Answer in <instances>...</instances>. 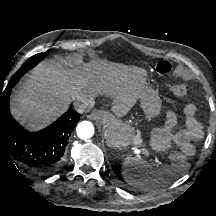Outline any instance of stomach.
<instances>
[{"mask_svg": "<svg viewBox=\"0 0 216 216\" xmlns=\"http://www.w3.org/2000/svg\"><path fill=\"white\" fill-rule=\"evenodd\" d=\"M139 100L140 107L148 119H154L160 115L161 99L154 89H143L139 96ZM104 134L107 145L114 148L130 146L133 144L135 136L133 128L122 123L114 122H108L104 126Z\"/></svg>", "mask_w": 216, "mask_h": 216, "instance_id": "1", "label": "stomach"}]
</instances>
